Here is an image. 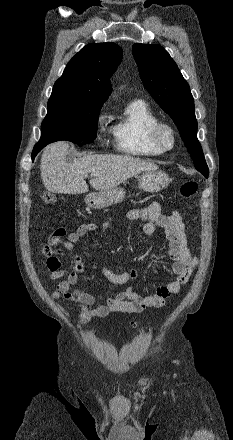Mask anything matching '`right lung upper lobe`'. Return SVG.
<instances>
[{"label":"right lung upper lobe","instance_id":"right-lung-upper-lobe-1","mask_svg":"<svg viewBox=\"0 0 233 440\" xmlns=\"http://www.w3.org/2000/svg\"><path fill=\"white\" fill-rule=\"evenodd\" d=\"M122 55L121 47L115 43L86 45L55 82L49 102L103 104L112 90L109 78L121 63Z\"/></svg>","mask_w":233,"mask_h":440}]
</instances>
